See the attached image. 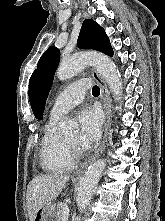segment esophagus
<instances>
[{
	"label": "esophagus",
	"instance_id": "obj_1",
	"mask_svg": "<svg viewBox=\"0 0 165 221\" xmlns=\"http://www.w3.org/2000/svg\"><path fill=\"white\" fill-rule=\"evenodd\" d=\"M91 74L94 80L100 86L103 108H104L105 115H106L105 129H104L103 140H102L100 147L88 160H86L82 164V166L77 170L76 174H81L84 171V169L88 167L89 164H91L98 156L102 154L107 144L109 128L111 125L112 110H111V98H110L108 87L105 81L103 80V78L98 74V72L95 69L91 70Z\"/></svg>",
	"mask_w": 165,
	"mask_h": 221
}]
</instances>
